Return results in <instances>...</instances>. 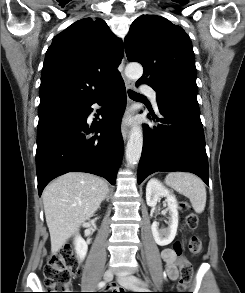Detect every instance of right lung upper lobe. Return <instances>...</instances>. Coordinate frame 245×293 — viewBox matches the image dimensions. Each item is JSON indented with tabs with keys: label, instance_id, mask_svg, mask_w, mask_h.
Masks as SVG:
<instances>
[{
	"label": "right lung upper lobe",
	"instance_id": "right-lung-upper-lobe-1",
	"mask_svg": "<svg viewBox=\"0 0 245 293\" xmlns=\"http://www.w3.org/2000/svg\"><path fill=\"white\" fill-rule=\"evenodd\" d=\"M123 43L102 19L76 21L56 35L41 75L40 105H80L117 81Z\"/></svg>",
	"mask_w": 245,
	"mask_h": 293
}]
</instances>
